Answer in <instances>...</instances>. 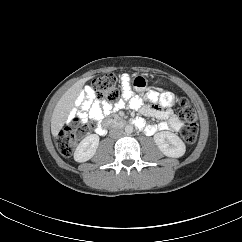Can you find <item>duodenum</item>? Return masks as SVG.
Segmentation results:
<instances>
[{
  "mask_svg": "<svg viewBox=\"0 0 242 242\" xmlns=\"http://www.w3.org/2000/svg\"><path fill=\"white\" fill-rule=\"evenodd\" d=\"M131 124L128 121H125L121 118H118L116 116H112L111 118H109L105 123H104V129L102 134H104L106 132V130L110 127H122V126H126Z\"/></svg>",
  "mask_w": 242,
  "mask_h": 242,
  "instance_id": "obj_1",
  "label": "duodenum"
}]
</instances>
